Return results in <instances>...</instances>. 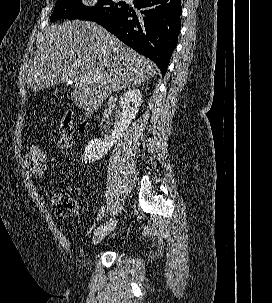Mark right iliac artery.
I'll return each instance as SVG.
<instances>
[{
  "label": "right iliac artery",
  "mask_w": 272,
  "mask_h": 303,
  "mask_svg": "<svg viewBox=\"0 0 272 303\" xmlns=\"http://www.w3.org/2000/svg\"><path fill=\"white\" fill-rule=\"evenodd\" d=\"M114 218H115V212L110 213L109 221L106 222V223H104V224H102L101 226H99L98 229L96 230L95 234H96L97 232H99L100 230H103V229L108 225V223H109L110 221H114Z\"/></svg>",
  "instance_id": "right-iliac-artery-1"
}]
</instances>
